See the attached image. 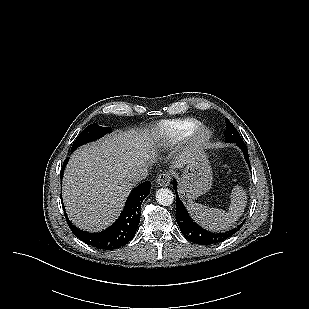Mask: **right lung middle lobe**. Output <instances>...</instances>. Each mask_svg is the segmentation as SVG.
<instances>
[{
    "instance_id": "obj_1",
    "label": "right lung middle lobe",
    "mask_w": 309,
    "mask_h": 309,
    "mask_svg": "<svg viewBox=\"0 0 309 309\" xmlns=\"http://www.w3.org/2000/svg\"><path fill=\"white\" fill-rule=\"evenodd\" d=\"M111 132L109 127H102L98 124H91L87 126L81 134L78 136V138L75 140V142L72 145L71 150H75L79 146L91 142L93 140H96L100 138L101 136L105 135L106 133Z\"/></svg>"
}]
</instances>
